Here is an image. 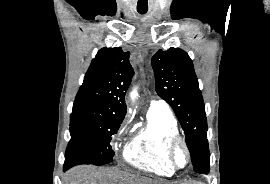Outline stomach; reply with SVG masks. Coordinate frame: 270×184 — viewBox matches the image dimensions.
<instances>
[{
    "mask_svg": "<svg viewBox=\"0 0 270 184\" xmlns=\"http://www.w3.org/2000/svg\"><path fill=\"white\" fill-rule=\"evenodd\" d=\"M188 184H202V183L195 182V181H191V182H189Z\"/></svg>",
    "mask_w": 270,
    "mask_h": 184,
    "instance_id": "stomach-1",
    "label": "stomach"
}]
</instances>
